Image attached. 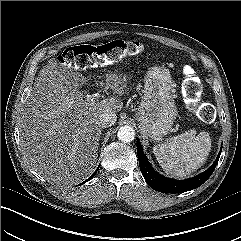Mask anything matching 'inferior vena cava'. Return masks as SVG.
I'll use <instances>...</instances> for the list:
<instances>
[{"label": "inferior vena cava", "instance_id": "obj_1", "mask_svg": "<svg viewBox=\"0 0 241 241\" xmlns=\"http://www.w3.org/2000/svg\"><path fill=\"white\" fill-rule=\"evenodd\" d=\"M117 116L113 112H103L98 116V124L102 128L109 127L116 122Z\"/></svg>", "mask_w": 241, "mask_h": 241}]
</instances>
